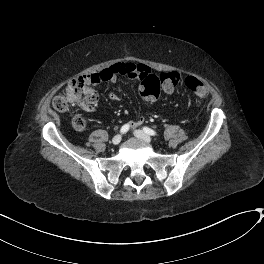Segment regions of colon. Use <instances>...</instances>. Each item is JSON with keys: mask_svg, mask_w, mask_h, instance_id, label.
<instances>
[{"mask_svg": "<svg viewBox=\"0 0 264 264\" xmlns=\"http://www.w3.org/2000/svg\"><path fill=\"white\" fill-rule=\"evenodd\" d=\"M118 74H126L124 66L116 67ZM180 77L177 72H164L159 76L151 75L144 79L140 85V95L147 100L157 97L160 90H174L179 84ZM186 86L193 92L194 96L204 99L208 95L205 85L193 76L185 80ZM98 99L97 91L91 83L84 78H76L68 82L62 94L54 96L52 105L58 111H66L70 107H77L79 112L73 118V124L77 129H85L88 124L86 113L90 111Z\"/></svg>", "mask_w": 264, "mask_h": 264, "instance_id": "obj_1", "label": "colon"}]
</instances>
